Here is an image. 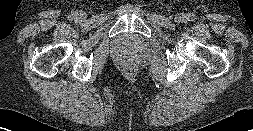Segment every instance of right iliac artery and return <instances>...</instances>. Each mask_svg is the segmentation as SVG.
<instances>
[{
    "label": "right iliac artery",
    "mask_w": 253,
    "mask_h": 131,
    "mask_svg": "<svg viewBox=\"0 0 253 131\" xmlns=\"http://www.w3.org/2000/svg\"><path fill=\"white\" fill-rule=\"evenodd\" d=\"M71 17H72V18H75V17H76V12H73V13L71 14Z\"/></svg>",
    "instance_id": "obj_1"
}]
</instances>
